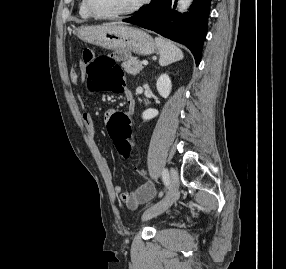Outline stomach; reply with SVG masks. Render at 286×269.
Segmentation results:
<instances>
[{
	"instance_id": "1",
	"label": "stomach",
	"mask_w": 286,
	"mask_h": 269,
	"mask_svg": "<svg viewBox=\"0 0 286 269\" xmlns=\"http://www.w3.org/2000/svg\"><path fill=\"white\" fill-rule=\"evenodd\" d=\"M77 36L104 49H133V53L147 56L155 53L157 46L145 31L124 25L84 26L77 29Z\"/></svg>"
}]
</instances>
